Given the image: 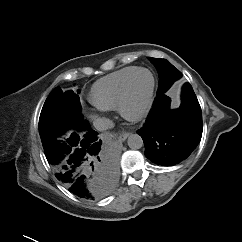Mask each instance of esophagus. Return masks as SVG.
I'll list each match as a JSON object with an SVG mask.
<instances>
[{"label":"esophagus","mask_w":242,"mask_h":242,"mask_svg":"<svg viewBox=\"0 0 242 242\" xmlns=\"http://www.w3.org/2000/svg\"><path fill=\"white\" fill-rule=\"evenodd\" d=\"M130 135L129 132L127 131H123L120 135H119V140L120 141H125L127 139V137Z\"/></svg>","instance_id":"34e87169"}]
</instances>
